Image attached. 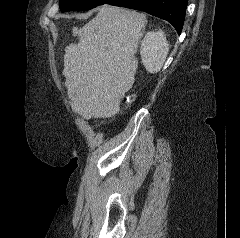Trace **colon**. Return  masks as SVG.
Here are the masks:
<instances>
[{"label":"colon","instance_id":"5ec220e1","mask_svg":"<svg viewBox=\"0 0 240 238\" xmlns=\"http://www.w3.org/2000/svg\"><path fill=\"white\" fill-rule=\"evenodd\" d=\"M131 100H132V97L130 96V97L128 98V102L131 101Z\"/></svg>","mask_w":240,"mask_h":238}]
</instances>
